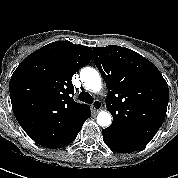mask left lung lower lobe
Returning a JSON list of instances; mask_svg holds the SVG:
<instances>
[{"mask_svg":"<svg viewBox=\"0 0 178 178\" xmlns=\"http://www.w3.org/2000/svg\"><path fill=\"white\" fill-rule=\"evenodd\" d=\"M103 134V140L105 144L112 150L120 153H129L134 152L139 149H141L144 146H140L137 144H133L131 142H128L126 140H123L115 135H113L111 132L107 131L106 129L102 130Z\"/></svg>","mask_w":178,"mask_h":178,"instance_id":"0a47b994","label":"left lung lower lobe"}]
</instances>
